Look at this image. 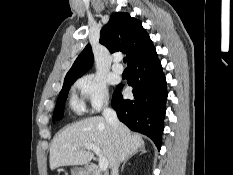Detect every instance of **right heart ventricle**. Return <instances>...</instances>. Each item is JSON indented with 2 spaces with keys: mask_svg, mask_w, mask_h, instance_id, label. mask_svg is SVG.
<instances>
[{
  "mask_svg": "<svg viewBox=\"0 0 233 175\" xmlns=\"http://www.w3.org/2000/svg\"><path fill=\"white\" fill-rule=\"evenodd\" d=\"M70 107L76 113H81L83 111V106L81 102L75 96L71 97Z\"/></svg>",
  "mask_w": 233,
  "mask_h": 175,
  "instance_id": "obj_1",
  "label": "right heart ventricle"
}]
</instances>
